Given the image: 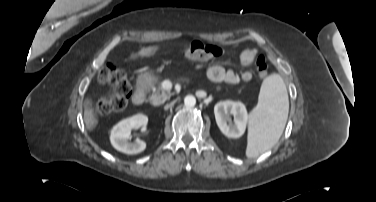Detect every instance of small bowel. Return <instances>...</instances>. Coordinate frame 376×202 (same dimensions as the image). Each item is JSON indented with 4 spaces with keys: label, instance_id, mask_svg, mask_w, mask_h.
<instances>
[{
    "label": "small bowel",
    "instance_id": "1",
    "mask_svg": "<svg viewBox=\"0 0 376 202\" xmlns=\"http://www.w3.org/2000/svg\"><path fill=\"white\" fill-rule=\"evenodd\" d=\"M257 51L255 49H247L243 51L240 57V62L244 67L249 66ZM207 77L213 82H224L228 84H237L239 82H248L252 78V74L249 71H244L241 74H237L233 70H226L221 65H210L206 69Z\"/></svg>",
    "mask_w": 376,
    "mask_h": 202
}]
</instances>
